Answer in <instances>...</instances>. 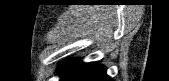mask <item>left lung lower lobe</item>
Wrapping results in <instances>:
<instances>
[{
  "mask_svg": "<svg viewBox=\"0 0 169 81\" xmlns=\"http://www.w3.org/2000/svg\"><path fill=\"white\" fill-rule=\"evenodd\" d=\"M61 81H111L106 68L98 63H83L72 59L61 65L58 70Z\"/></svg>",
  "mask_w": 169,
  "mask_h": 81,
  "instance_id": "obj_1",
  "label": "left lung lower lobe"
}]
</instances>
